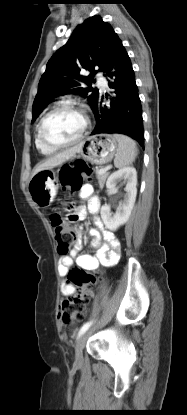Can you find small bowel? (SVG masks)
Wrapping results in <instances>:
<instances>
[{
	"label": "small bowel",
	"mask_w": 187,
	"mask_h": 415,
	"mask_svg": "<svg viewBox=\"0 0 187 415\" xmlns=\"http://www.w3.org/2000/svg\"><path fill=\"white\" fill-rule=\"evenodd\" d=\"M81 199H89L88 210L93 217L95 228L89 230L92 237L91 247L96 249L95 255L80 254L83 248V235L80 229L76 230V240L66 255L61 256L59 262V274L64 278L61 285V294L63 296H71L75 293V287L68 280L69 269L76 260L77 264L88 271L96 270L100 264L114 265L120 254V241L115 235L106 230L99 218L100 200L94 194L93 187L85 184L79 190ZM87 209L84 206L76 207L73 220H82L86 216Z\"/></svg>",
	"instance_id": "1"
}]
</instances>
